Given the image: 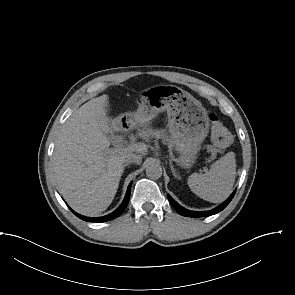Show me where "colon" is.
Masks as SVG:
<instances>
[{"label":"colon","instance_id":"1","mask_svg":"<svg viewBox=\"0 0 295 295\" xmlns=\"http://www.w3.org/2000/svg\"><path fill=\"white\" fill-rule=\"evenodd\" d=\"M209 120L211 124V138L213 143L218 147H227L232 141L230 132L222 124L216 114L211 113L209 115Z\"/></svg>","mask_w":295,"mask_h":295}]
</instances>
